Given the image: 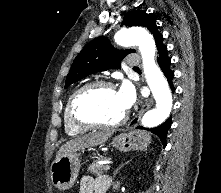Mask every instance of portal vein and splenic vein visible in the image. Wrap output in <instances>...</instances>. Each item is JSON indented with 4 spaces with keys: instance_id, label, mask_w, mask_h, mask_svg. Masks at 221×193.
Returning a JSON list of instances; mask_svg holds the SVG:
<instances>
[{
    "instance_id": "portal-vein-and-splenic-vein-1",
    "label": "portal vein and splenic vein",
    "mask_w": 221,
    "mask_h": 193,
    "mask_svg": "<svg viewBox=\"0 0 221 193\" xmlns=\"http://www.w3.org/2000/svg\"><path fill=\"white\" fill-rule=\"evenodd\" d=\"M110 165L109 164H107L106 166H105V171H108V170H110Z\"/></svg>"
}]
</instances>
